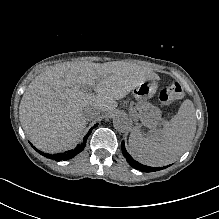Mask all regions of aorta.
I'll return each mask as SVG.
<instances>
[{"mask_svg": "<svg viewBox=\"0 0 219 219\" xmlns=\"http://www.w3.org/2000/svg\"><path fill=\"white\" fill-rule=\"evenodd\" d=\"M132 123L125 113L119 112L113 117V126L119 132H126Z\"/></svg>", "mask_w": 219, "mask_h": 219, "instance_id": "aorta-1", "label": "aorta"}]
</instances>
